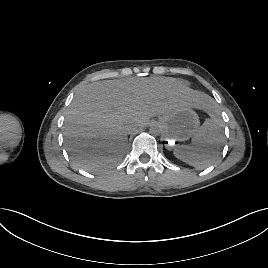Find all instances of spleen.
I'll return each instance as SVG.
<instances>
[{
    "instance_id": "1",
    "label": "spleen",
    "mask_w": 268,
    "mask_h": 268,
    "mask_svg": "<svg viewBox=\"0 0 268 268\" xmlns=\"http://www.w3.org/2000/svg\"><path fill=\"white\" fill-rule=\"evenodd\" d=\"M210 116L194 134L189 146L174 150L178 159L200 170L212 165L221 153L223 122L216 112H211Z\"/></svg>"
}]
</instances>
